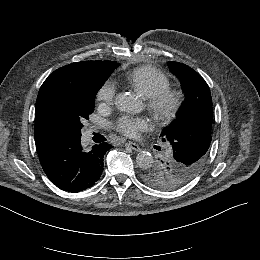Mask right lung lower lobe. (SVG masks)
Returning <instances> with one entry per match:
<instances>
[{
	"label": "right lung lower lobe",
	"instance_id": "right-lung-lower-lobe-1",
	"mask_svg": "<svg viewBox=\"0 0 260 260\" xmlns=\"http://www.w3.org/2000/svg\"><path fill=\"white\" fill-rule=\"evenodd\" d=\"M80 138L61 139L39 156L47 177L67 192L77 193L93 186L101 177L103 157L112 147L103 142L84 150Z\"/></svg>",
	"mask_w": 260,
	"mask_h": 260
}]
</instances>
